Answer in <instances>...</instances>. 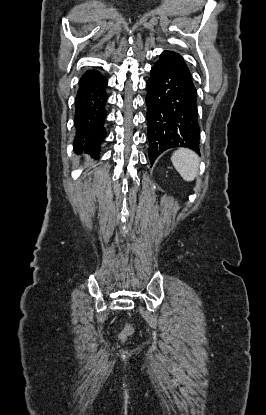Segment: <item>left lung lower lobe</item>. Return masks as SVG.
Instances as JSON below:
<instances>
[{
    "mask_svg": "<svg viewBox=\"0 0 266 415\" xmlns=\"http://www.w3.org/2000/svg\"><path fill=\"white\" fill-rule=\"evenodd\" d=\"M146 82L149 159L165 150L187 147L199 154L197 91L189 74L164 52Z\"/></svg>",
    "mask_w": 266,
    "mask_h": 415,
    "instance_id": "0a47b994",
    "label": "left lung lower lobe"
}]
</instances>
